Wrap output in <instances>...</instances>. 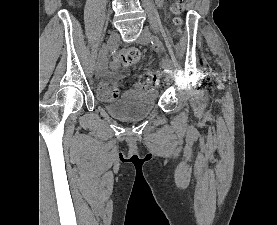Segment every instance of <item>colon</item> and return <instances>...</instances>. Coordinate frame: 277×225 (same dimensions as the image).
Instances as JSON below:
<instances>
[{"label":"colon","mask_w":277,"mask_h":225,"mask_svg":"<svg viewBox=\"0 0 277 225\" xmlns=\"http://www.w3.org/2000/svg\"><path fill=\"white\" fill-rule=\"evenodd\" d=\"M188 0H175L172 5V12L176 15L174 24L179 27L182 24L181 14ZM140 51L138 49H128L120 52L113 64L115 66H130L135 64L140 59ZM160 80V73L157 71H148L141 75L140 81L145 89L155 88ZM119 94V87L115 83L102 85L98 88L97 95L100 100L110 101L115 99Z\"/></svg>","instance_id":"colon-1"}]
</instances>
